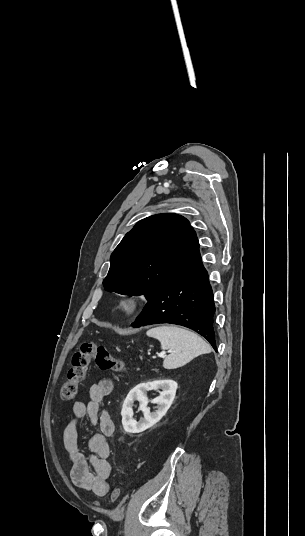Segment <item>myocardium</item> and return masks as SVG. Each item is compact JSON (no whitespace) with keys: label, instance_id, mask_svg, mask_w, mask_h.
<instances>
[{"label":"myocardium","instance_id":"f54148a6","mask_svg":"<svg viewBox=\"0 0 305 536\" xmlns=\"http://www.w3.org/2000/svg\"><path fill=\"white\" fill-rule=\"evenodd\" d=\"M145 305L146 300L143 295L130 292L119 297L116 309L122 317L134 318L144 310Z\"/></svg>","mask_w":305,"mask_h":536}]
</instances>
